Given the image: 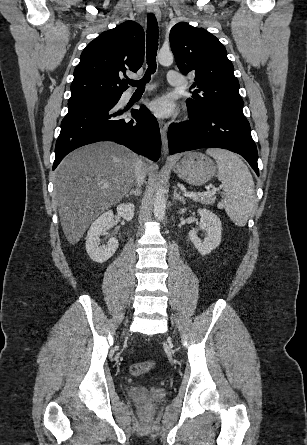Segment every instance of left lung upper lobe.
<instances>
[{
    "label": "left lung upper lobe",
    "mask_w": 307,
    "mask_h": 445,
    "mask_svg": "<svg viewBox=\"0 0 307 445\" xmlns=\"http://www.w3.org/2000/svg\"><path fill=\"white\" fill-rule=\"evenodd\" d=\"M170 45L183 74L195 72V91L187 108L191 117L223 111L243 115V100L234 67L219 40L203 28L177 23L170 32Z\"/></svg>",
    "instance_id": "left-lung-upper-lobe-1"
}]
</instances>
